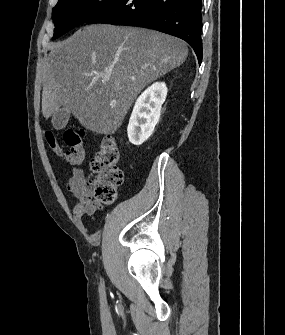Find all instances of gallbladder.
Listing matches in <instances>:
<instances>
[{"mask_svg": "<svg viewBox=\"0 0 285 335\" xmlns=\"http://www.w3.org/2000/svg\"><path fill=\"white\" fill-rule=\"evenodd\" d=\"M69 118L70 112L66 108H61V110L55 112L54 116H52V124L55 130H63L66 124H68Z\"/></svg>", "mask_w": 285, "mask_h": 335, "instance_id": "1", "label": "gallbladder"}]
</instances>
